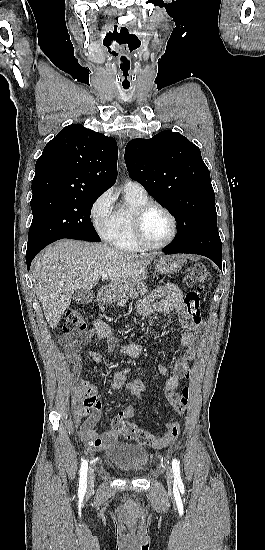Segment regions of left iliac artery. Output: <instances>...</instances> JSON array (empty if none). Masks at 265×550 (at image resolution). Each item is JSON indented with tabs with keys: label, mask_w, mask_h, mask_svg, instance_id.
<instances>
[{
	"label": "left iliac artery",
	"mask_w": 265,
	"mask_h": 550,
	"mask_svg": "<svg viewBox=\"0 0 265 550\" xmlns=\"http://www.w3.org/2000/svg\"><path fill=\"white\" fill-rule=\"evenodd\" d=\"M172 469H173V473H174V482H175V484L182 485V480H181V476H180V465H179L178 460L173 459Z\"/></svg>",
	"instance_id": "left-iliac-artery-1"
}]
</instances>
